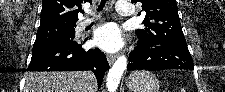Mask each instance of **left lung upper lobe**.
<instances>
[{
	"label": "left lung upper lobe",
	"mask_w": 225,
	"mask_h": 92,
	"mask_svg": "<svg viewBox=\"0 0 225 92\" xmlns=\"http://www.w3.org/2000/svg\"><path fill=\"white\" fill-rule=\"evenodd\" d=\"M141 2L146 16L142 22L144 29L136 34L140 40L154 43L187 45L182 32L176 0H131Z\"/></svg>",
	"instance_id": "left-lung-upper-lobe-1"
}]
</instances>
